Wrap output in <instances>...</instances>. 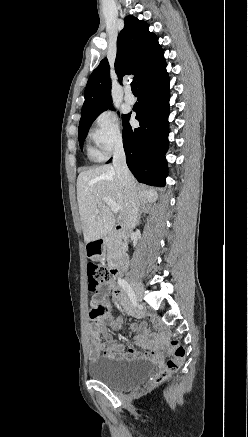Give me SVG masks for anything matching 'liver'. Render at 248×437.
<instances>
[{"label": "liver", "mask_w": 248, "mask_h": 437, "mask_svg": "<svg viewBox=\"0 0 248 437\" xmlns=\"http://www.w3.org/2000/svg\"><path fill=\"white\" fill-rule=\"evenodd\" d=\"M135 190L142 205L155 202L158 198L157 192L142 190L136 183ZM104 197L111 198L121 207L124 218L127 212L126 194L114 166L104 165L81 172L77 178V201L86 243L105 237L115 225V216L103 201Z\"/></svg>", "instance_id": "obj_1"}]
</instances>
